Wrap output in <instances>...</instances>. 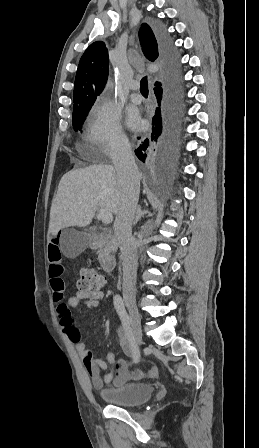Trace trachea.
Here are the masks:
<instances>
[{
  "mask_svg": "<svg viewBox=\"0 0 259 448\" xmlns=\"http://www.w3.org/2000/svg\"><path fill=\"white\" fill-rule=\"evenodd\" d=\"M140 92L141 94L147 95L148 94V80L147 76L143 77L140 81Z\"/></svg>",
  "mask_w": 259,
  "mask_h": 448,
  "instance_id": "trachea-1",
  "label": "trachea"
}]
</instances>
